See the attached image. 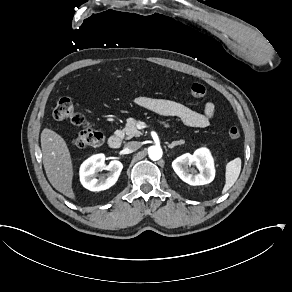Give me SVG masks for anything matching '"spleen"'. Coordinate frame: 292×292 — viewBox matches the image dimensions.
I'll list each match as a JSON object with an SVG mask.
<instances>
[{
    "label": "spleen",
    "instance_id": "1",
    "mask_svg": "<svg viewBox=\"0 0 292 292\" xmlns=\"http://www.w3.org/2000/svg\"><path fill=\"white\" fill-rule=\"evenodd\" d=\"M242 160L236 157L225 166V185L222 194H225L237 181L241 172Z\"/></svg>",
    "mask_w": 292,
    "mask_h": 292
}]
</instances>
